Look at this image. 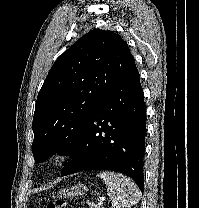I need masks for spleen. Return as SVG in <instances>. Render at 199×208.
<instances>
[{"instance_id": "obj_1", "label": "spleen", "mask_w": 199, "mask_h": 208, "mask_svg": "<svg viewBox=\"0 0 199 208\" xmlns=\"http://www.w3.org/2000/svg\"><path fill=\"white\" fill-rule=\"evenodd\" d=\"M98 177L106 184L113 208H129L140 200L138 187L128 177L111 171L100 172Z\"/></svg>"}]
</instances>
